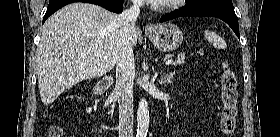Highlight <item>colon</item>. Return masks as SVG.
<instances>
[{"label": "colon", "instance_id": "obj_1", "mask_svg": "<svg viewBox=\"0 0 280 137\" xmlns=\"http://www.w3.org/2000/svg\"><path fill=\"white\" fill-rule=\"evenodd\" d=\"M221 81V131L225 137H232L236 129L238 87L235 72L224 63L220 70ZM51 137H65L63 129L53 125L49 129Z\"/></svg>", "mask_w": 280, "mask_h": 137}]
</instances>
